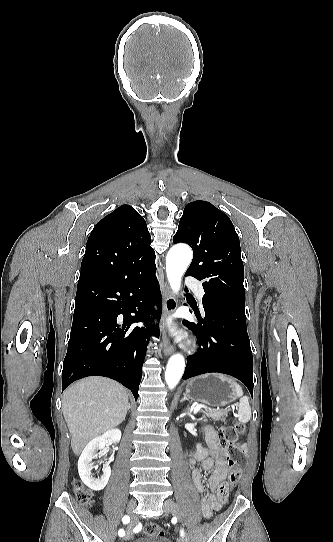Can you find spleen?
<instances>
[{
    "instance_id": "3e777b00",
    "label": "spleen",
    "mask_w": 333,
    "mask_h": 542,
    "mask_svg": "<svg viewBox=\"0 0 333 542\" xmlns=\"http://www.w3.org/2000/svg\"><path fill=\"white\" fill-rule=\"evenodd\" d=\"M217 378H220L222 382H230L237 398H240L239 404H238V422H241V424H247L251 418V408L249 406L248 398L246 396H243L244 392L240 386V384H237L235 380H230V378H226V376H222V374H216Z\"/></svg>"
}]
</instances>
